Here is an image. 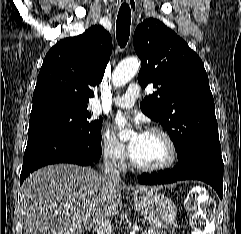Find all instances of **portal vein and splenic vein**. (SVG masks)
<instances>
[{"label":"portal vein and splenic vein","instance_id":"18ae733b","mask_svg":"<svg viewBox=\"0 0 241 234\" xmlns=\"http://www.w3.org/2000/svg\"><path fill=\"white\" fill-rule=\"evenodd\" d=\"M145 234H151V231H148L147 233H145Z\"/></svg>","mask_w":241,"mask_h":234}]
</instances>
